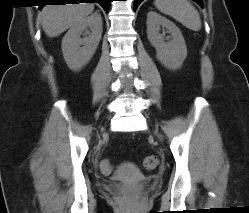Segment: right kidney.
Wrapping results in <instances>:
<instances>
[{
	"instance_id": "obj_1",
	"label": "right kidney",
	"mask_w": 249,
	"mask_h": 213,
	"mask_svg": "<svg viewBox=\"0 0 249 213\" xmlns=\"http://www.w3.org/2000/svg\"><path fill=\"white\" fill-rule=\"evenodd\" d=\"M81 35H84L81 38ZM102 37L99 11L73 25L62 40V52L67 66L79 71L92 58Z\"/></svg>"
}]
</instances>
